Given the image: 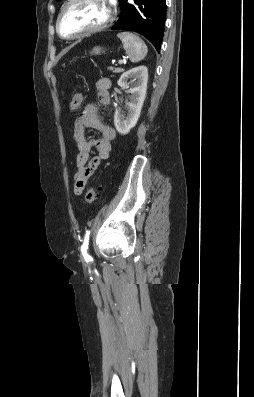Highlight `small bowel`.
<instances>
[{"label": "small bowel", "instance_id": "obj_1", "mask_svg": "<svg viewBox=\"0 0 254 397\" xmlns=\"http://www.w3.org/2000/svg\"><path fill=\"white\" fill-rule=\"evenodd\" d=\"M110 85L111 82L107 78H101L95 83L98 100L101 105L107 106L110 104ZM86 128L97 130L99 135L93 139H87L85 135ZM73 137L78 150L73 191L76 195H81L101 162L109 158L111 141L115 138V130L112 126L100 120L97 104L89 103L75 121ZM93 148L96 149L97 155L90 158V152Z\"/></svg>", "mask_w": 254, "mask_h": 397}]
</instances>
